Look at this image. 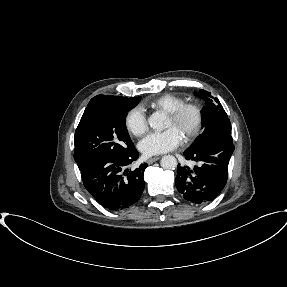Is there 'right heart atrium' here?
Wrapping results in <instances>:
<instances>
[{
    "mask_svg": "<svg viewBox=\"0 0 287 287\" xmlns=\"http://www.w3.org/2000/svg\"><path fill=\"white\" fill-rule=\"evenodd\" d=\"M125 127L134 136H142L148 129V119L140 107L130 109L125 116Z\"/></svg>",
    "mask_w": 287,
    "mask_h": 287,
    "instance_id": "right-heart-atrium-1",
    "label": "right heart atrium"
}]
</instances>
